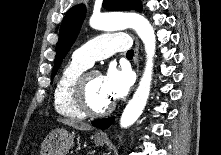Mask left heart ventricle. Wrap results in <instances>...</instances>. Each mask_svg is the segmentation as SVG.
Listing matches in <instances>:
<instances>
[{
    "instance_id": "left-heart-ventricle-1",
    "label": "left heart ventricle",
    "mask_w": 221,
    "mask_h": 155,
    "mask_svg": "<svg viewBox=\"0 0 221 155\" xmlns=\"http://www.w3.org/2000/svg\"><path fill=\"white\" fill-rule=\"evenodd\" d=\"M87 97L90 105L95 110L104 109L112 102L104 90L103 79L100 74H95L90 78L87 88Z\"/></svg>"
}]
</instances>
